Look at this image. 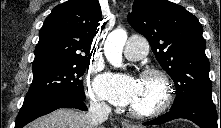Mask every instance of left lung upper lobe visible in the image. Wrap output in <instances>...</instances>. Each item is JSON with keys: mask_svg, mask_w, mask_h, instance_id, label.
I'll list each match as a JSON object with an SVG mask.
<instances>
[{"mask_svg": "<svg viewBox=\"0 0 221 128\" xmlns=\"http://www.w3.org/2000/svg\"><path fill=\"white\" fill-rule=\"evenodd\" d=\"M131 26L149 41L161 67L176 86L170 110L190 101H212L206 43L198 19L168 0H135Z\"/></svg>", "mask_w": 221, "mask_h": 128, "instance_id": "left-lung-upper-lobe-1", "label": "left lung upper lobe"}]
</instances>
